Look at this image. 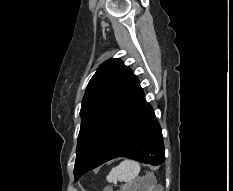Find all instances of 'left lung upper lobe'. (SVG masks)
<instances>
[{"mask_svg":"<svg viewBox=\"0 0 233 191\" xmlns=\"http://www.w3.org/2000/svg\"><path fill=\"white\" fill-rule=\"evenodd\" d=\"M131 69L118 59L104 62L91 78L81 106L74 175L87 160L104 129L138 86Z\"/></svg>","mask_w":233,"mask_h":191,"instance_id":"5c2ea615","label":"left lung upper lobe"}]
</instances>
